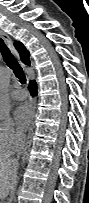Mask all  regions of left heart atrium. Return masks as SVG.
<instances>
[{
    "label": "left heart atrium",
    "instance_id": "obj_1",
    "mask_svg": "<svg viewBox=\"0 0 89 203\" xmlns=\"http://www.w3.org/2000/svg\"><path fill=\"white\" fill-rule=\"evenodd\" d=\"M33 115V110L27 104H23L16 109L15 120L20 131L25 132L30 128Z\"/></svg>",
    "mask_w": 89,
    "mask_h": 203
}]
</instances>
